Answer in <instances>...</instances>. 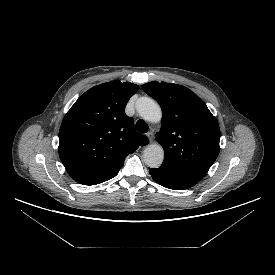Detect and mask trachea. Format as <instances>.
Wrapping results in <instances>:
<instances>
[{
  "mask_svg": "<svg viewBox=\"0 0 275 275\" xmlns=\"http://www.w3.org/2000/svg\"><path fill=\"white\" fill-rule=\"evenodd\" d=\"M135 127H136V130L140 133H146L148 131V125L142 119H139L136 122Z\"/></svg>",
  "mask_w": 275,
  "mask_h": 275,
  "instance_id": "obj_1",
  "label": "trachea"
}]
</instances>
